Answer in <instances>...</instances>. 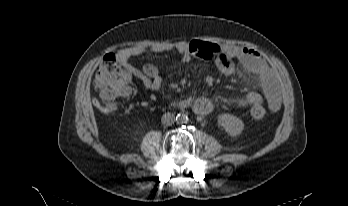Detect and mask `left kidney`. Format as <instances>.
Returning a JSON list of instances; mask_svg holds the SVG:
<instances>
[{
  "mask_svg": "<svg viewBox=\"0 0 348 206\" xmlns=\"http://www.w3.org/2000/svg\"><path fill=\"white\" fill-rule=\"evenodd\" d=\"M217 123L221 126L229 135L236 137L239 136L243 129L244 123L241 119L234 115L224 113L218 116Z\"/></svg>",
  "mask_w": 348,
  "mask_h": 206,
  "instance_id": "left-kidney-1",
  "label": "left kidney"
}]
</instances>
